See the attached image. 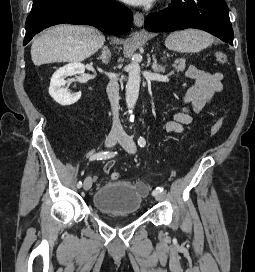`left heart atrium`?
Here are the masks:
<instances>
[{"instance_id":"1","label":"left heart atrium","mask_w":255,"mask_h":272,"mask_svg":"<svg viewBox=\"0 0 255 272\" xmlns=\"http://www.w3.org/2000/svg\"><path fill=\"white\" fill-rule=\"evenodd\" d=\"M125 2H128L133 5H148L154 0H123Z\"/></svg>"}]
</instances>
